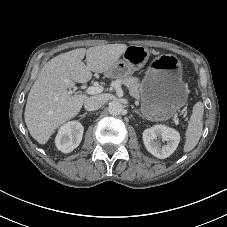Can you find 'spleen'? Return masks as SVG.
I'll return each instance as SVG.
<instances>
[{
    "label": "spleen",
    "instance_id": "obj_1",
    "mask_svg": "<svg viewBox=\"0 0 227 227\" xmlns=\"http://www.w3.org/2000/svg\"><path fill=\"white\" fill-rule=\"evenodd\" d=\"M203 113L204 106L202 102H197L192 111V115L188 122V127L185 132L184 152L192 151L198 144L203 132Z\"/></svg>",
    "mask_w": 227,
    "mask_h": 227
}]
</instances>
